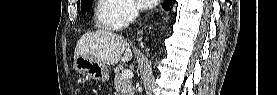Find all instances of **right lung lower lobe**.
Instances as JSON below:
<instances>
[{
	"mask_svg": "<svg viewBox=\"0 0 277 95\" xmlns=\"http://www.w3.org/2000/svg\"><path fill=\"white\" fill-rule=\"evenodd\" d=\"M170 3H171V0H165V1H164L163 7H164L165 9H169Z\"/></svg>",
	"mask_w": 277,
	"mask_h": 95,
	"instance_id": "1",
	"label": "right lung lower lobe"
}]
</instances>
